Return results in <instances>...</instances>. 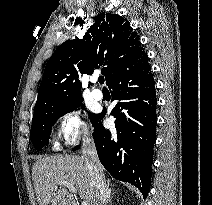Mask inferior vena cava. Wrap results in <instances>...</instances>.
Masks as SVG:
<instances>
[{
	"instance_id": "obj_1",
	"label": "inferior vena cava",
	"mask_w": 212,
	"mask_h": 205,
	"mask_svg": "<svg viewBox=\"0 0 212 205\" xmlns=\"http://www.w3.org/2000/svg\"><path fill=\"white\" fill-rule=\"evenodd\" d=\"M82 154L90 173V186L93 189V205H106V184L102 165L99 161L93 139L85 136Z\"/></svg>"
}]
</instances>
